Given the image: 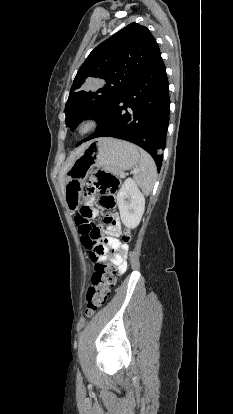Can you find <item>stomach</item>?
<instances>
[{
    "instance_id": "0dacf381",
    "label": "stomach",
    "mask_w": 233,
    "mask_h": 414,
    "mask_svg": "<svg viewBox=\"0 0 233 414\" xmlns=\"http://www.w3.org/2000/svg\"><path fill=\"white\" fill-rule=\"evenodd\" d=\"M140 162L137 146L126 141L99 138L87 143L80 157L66 173L64 195L70 209H75L80 201L84 180L91 169L103 167L112 172L130 170Z\"/></svg>"
}]
</instances>
